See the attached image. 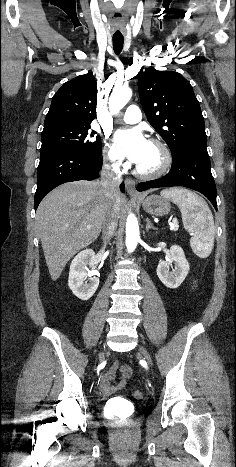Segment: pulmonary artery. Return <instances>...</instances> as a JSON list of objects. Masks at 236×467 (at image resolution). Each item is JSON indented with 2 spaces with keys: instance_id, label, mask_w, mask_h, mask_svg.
<instances>
[{
  "instance_id": "pulmonary-artery-1",
  "label": "pulmonary artery",
  "mask_w": 236,
  "mask_h": 467,
  "mask_svg": "<svg viewBox=\"0 0 236 467\" xmlns=\"http://www.w3.org/2000/svg\"><path fill=\"white\" fill-rule=\"evenodd\" d=\"M141 117V111L136 105L128 106L126 111L119 116L121 120L129 124L137 123L138 121H140Z\"/></svg>"
}]
</instances>
